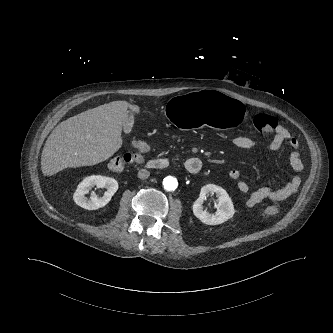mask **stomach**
<instances>
[{
    "label": "stomach",
    "instance_id": "1",
    "mask_svg": "<svg viewBox=\"0 0 333 333\" xmlns=\"http://www.w3.org/2000/svg\"><path fill=\"white\" fill-rule=\"evenodd\" d=\"M242 104L229 95L204 90L170 99L166 113L179 129L191 130L203 124L211 129L231 130L242 121Z\"/></svg>",
    "mask_w": 333,
    "mask_h": 333
}]
</instances>
